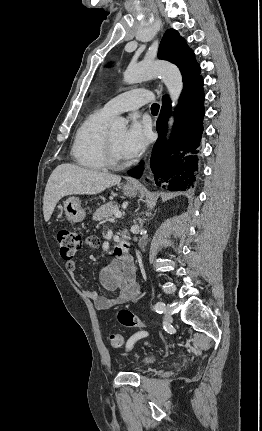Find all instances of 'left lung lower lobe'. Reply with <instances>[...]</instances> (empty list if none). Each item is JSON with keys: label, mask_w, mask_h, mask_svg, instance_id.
<instances>
[{"label": "left lung lower lobe", "mask_w": 262, "mask_h": 431, "mask_svg": "<svg viewBox=\"0 0 262 431\" xmlns=\"http://www.w3.org/2000/svg\"><path fill=\"white\" fill-rule=\"evenodd\" d=\"M171 105L168 96L162 99V108L157 120L160 135L155 143L150 160L154 179L158 186L172 191H185L194 187L198 169L197 147L200 145L204 118L203 79L184 87L175 113V123L169 145L165 133ZM144 162L128 172L130 176H141Z\"/></svg>", "instance_id": "1"}]
</instances>
